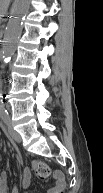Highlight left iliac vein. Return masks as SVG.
Here are the masks:
<instances>
[{
    "label": "left iliac vein",
    "mask_w": 103,
    "mask_h": 193,
    "mask_svg": "<svg viewBox=\"0 0 103 193\" xmlns=\"http://www.w3.org/2000/svg\"><path fill=\"white\" fill-rule=\"evenodd\" d=\"M8 132L9 135L16 141V142H21V136L19 135L18 132H16L13 127L10 125V123L8 124Z\"/></svg>",
    "instance_id": "1"
}]
</instances>
